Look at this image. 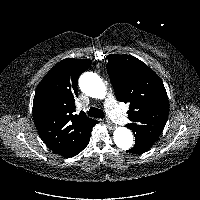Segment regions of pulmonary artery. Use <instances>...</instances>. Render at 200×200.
Returning a JSON list of instances; mask_svg holds the SVG:
<instances>
[{"instance_id":"pulmonary-artery-1","label":"pulmonary artery","mask_w":200,"mask_h":200,"mask_svg":"<svg viewBox=\"0 0 200 200\" xmlns=\"http://www.w3.org/2000/svg\"><path fill=\"white\" fill-rule=\"evenodd\" d=\"M106 107L110 117H112L119 124H124L127 120L126 116L118 108L116 100L112 93H109L106 98Z\"/></svg>"}]
</instances>
